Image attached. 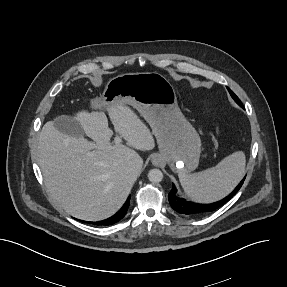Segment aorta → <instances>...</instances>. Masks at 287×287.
Instances as JSON below:
<instances>
[{"label":"aorta","mask_w":287,"mask_h":287,"mask_svg":"<svg viewBox=\"0 0 287 287\" xmlns=\"http://www.w3.org/2000/svg\"><path fill=\"white\" fill-rule=\"evenodd\" d=\"M148 179L152 183H159L163 179V173L159 169H151L148 172Z\"/></svg>","instance_id":"762f6f07"}]
</instances>
